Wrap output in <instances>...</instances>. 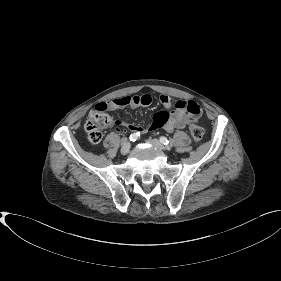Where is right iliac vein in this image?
Listing matches in <instances>:
<instances>
[{
    "label": "right iliac vein",
    "mask_w": 281,
    "mask_h": 281,
    "mask_svg": "<svg viewBox=\"0 0 281 281\" xmlns=\"http://www.w3.org/2000/svg\"><path fill=\"white\" fill-rule=\"evenodd\" d=\"M130 147H131V144L129 142L124 143L121 147V153L123 155L127 154L130 150Z\"/></svg>",
    "instance_id": "63e3f726"
}]
</instances>
